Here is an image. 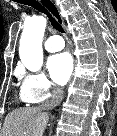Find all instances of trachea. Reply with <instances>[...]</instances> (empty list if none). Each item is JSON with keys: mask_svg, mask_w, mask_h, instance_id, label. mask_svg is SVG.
<instances>
[{"mask_svg": "<svg viewBox=\"0 0 117 136\" xmlns=\"http://www.w3.org/2000/svg\"><path fill=\"white\" fill-rule=\"evenodd\" d=\"M18 2L32 6L39 12L46 14L53 28L61 33H64V29L60 25L61 23H59L39 2H37L36 0H18Z\"/></svg>", "mask_w": 117, "mask_h": 136, "instance_id": "1", "label": "trachea"}]
</instances>
